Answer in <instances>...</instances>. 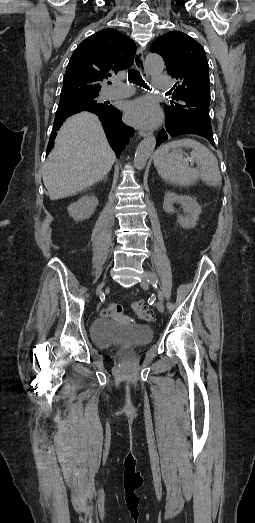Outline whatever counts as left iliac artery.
Wrapping results in <instances>:
<instances>
[{
    "instance_id": "44dca946",
    "label": "left iliac artery",
    "mask_w": 255,
    "mask_h": 523,
    "mask_svg": "<svg viewBox=\"0 0 255 523\" xmlns=\"http://www.w3.org/2000/svg\"><path fill=\"white\" fill-rule=\"evenodd\" d=\"M148 282L151 283L155 288H157L158 281H155L151 276L148 277ZM158 299L160 301H163V299H164V296L160 290L158 291Z\"/></svg>"
}]
</instances>
